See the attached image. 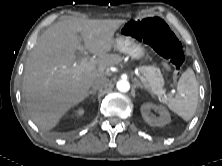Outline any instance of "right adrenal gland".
<instances>
[{
    "mask_svg": "<svg viewBox=\"0 0 222 166\" xmlns=\"http://www.w3.org/2000/svg\"><path fill=\"white\" fill-rule=\"evenodd\" d=\"M96 95V91L95 90H90L89 92H88V94H87V98L89 97V95Z\"/></svg>",
    "mask_w": 222,
    "mask_h": 166,
    "instance_id": "right-adrenal-gland-1",
    "label": "right adrenal gland"
}]
</instances>
